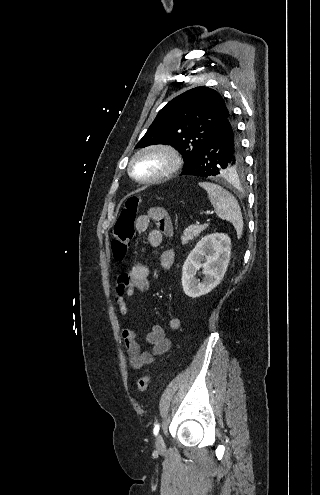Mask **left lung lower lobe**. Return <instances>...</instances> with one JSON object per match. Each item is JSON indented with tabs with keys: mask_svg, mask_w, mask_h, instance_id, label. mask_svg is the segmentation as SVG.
Here are the masks:
<instances>
[{
	"mask_svg": "<svg viewBox=\"0 0 320 495\" xmlns=\"http://www.w3.org/2000/svg\"><path fill=\"white\" fill-rule=\"evenodd\" d=\"M241 156L239 137L230 115L181 175L218 176L226 167L235 165Z\"/></svg>",
	"mask_w": 320,
	"mask_h": 495,
	"instance_id": "left-lung-lower-lobe-1",
	"label": "left lung lower lobe"
}]
</instances>
